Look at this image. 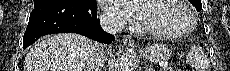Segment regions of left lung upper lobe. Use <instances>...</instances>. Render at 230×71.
I'll return each mask as SVG.
<instances>
[{"label":"left lung upper lobe","instance_id":"1","mask_svg":"<svg viewBox=\"0 0 230 71\" xmlns=\"http://www.w3.org/2000/svg\"><path fill=\"white\" fill-rule=\"evenodd\" d=\"M196 8L197 11H201L202 9V4L201 0H189Z\"/></svg>","mask_w":230,"mask_h":71}]
</instances>
